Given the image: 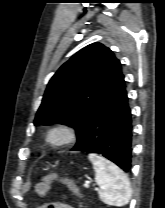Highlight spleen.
<instances>
[{
    "mask_svg": "<svg viewBox=\"0 0 165 208\" xmlns=\"http://www.w3.org/2000/svg\"><path fill=\"white\" fill-rule=\"evenodd\" d=\"M89 160L94 166L95 181L100 186V199L108 205H126L132 196V189L124 172L100 155L89 154Z\"/></svg>",
    "mask_w": 165,
    "mask_h": 208,
    "instance_id": "3e777b00",
    "label": "spleen"
}]
</instances>
